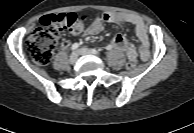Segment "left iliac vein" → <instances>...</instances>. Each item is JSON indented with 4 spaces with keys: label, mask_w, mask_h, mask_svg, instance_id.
Wrapping results in <instances>:
<instances>
[{
    "label": "left iliac vein",
    "mask_w": 194,
    "mask_h": 133,
    "mask_svg": "<svg viewBox=\"0 0 194 133\" xmlns=\"http://www.w3.org/2000/svg\"><path fill=\"white\" fill-rule=\"evenodd\" d=\"M78 53H79L80 55L94 54L90 49L85 48V47L80 48V49L78 50Z\"/></svg>",
    "instance_id": "left-iliac-vein-1"
}]
</instances>
